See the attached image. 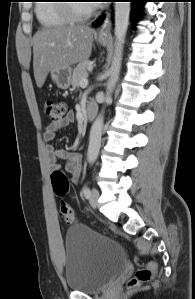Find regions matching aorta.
I'll return each instance as SVG.
<instances>
[{"instance_id": "obj_1", "label": "aorta", "mask_w": 195, "mask_h": 299, "mask_svg": "<svg viewBox=\"0 0 195 299\" xmlns=\"http://www.w3.org/2000/svg\"><path fill=\"white\" fill-rule=\"evenodd\" d=\"M130 2H116L115 3V55L110 69V77L107 82V90L105 101L111 100V94L118 79L120 65L122 60L123 44L126 37V32L129 23ZM104 124L103 114L98 116L94 121L91 131L88 146V161L94 162L97 159L101 147V135Z\"/></svg>"}]
</instances>
